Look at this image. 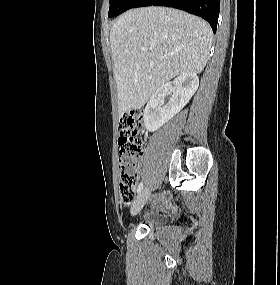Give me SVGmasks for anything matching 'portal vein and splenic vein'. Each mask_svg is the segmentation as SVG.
I'll use <instances>...</instances> for the list:
<instances>
[{
	"label": "portal vein and splenic vein",
	"instance_id": "portal-vein-and-splenic-vein-1",
	"mask_svg": "<svg viewBox=\"0 0 280 285\" xmlns=\"http://www.w3.org/2000/svg\"><path fill=\"white\" fill-rule=\"evenodd\" d=\"M143 51H144V52H147L148 50H147V49H143ZM163 58H164V57H161V59H163Z\"/></svg>",
	"mask_w": 280,
	"mask_h": 285
}]
</instances>
